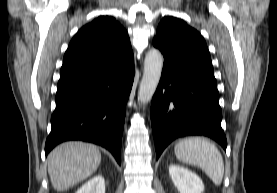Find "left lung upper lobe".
I'll return each instance as SVG.
<instances>
[{
  "instance_id": "1",
  "label": "left lung upper lobe",
  "mask_w": 277,
  "mask_h": 193,
  "mask_svg": "<svg viewBox=\"0 0 277 193\" xmlns=\"http://www.w3.org/2000/svg\"><path fill=\"white\" fill-rule=\"evenodd\" d=\"M153 45L161 50L164 58L213 68L205 40L181 19L164 17L157 28Z\"/></svg>"
}]
</instances>
